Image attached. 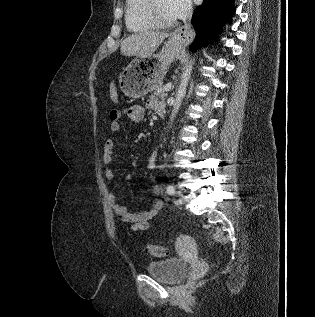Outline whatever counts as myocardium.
<instances>
[{"instance_id":"myocardium-1","label":"myocardium","mask_w":315,"mask_h":317,"mask_svg":"<svg viewBox=\"0 0 315 317\" xmlns=\"http://www.w3.org/2000/svg\"><path fill=\"white\" fill-rule=\"evenodd\" d=\"M146 10H147V16L149 20L151 21V23L154 25V27L166 29V28L174 27L177 24L176 20L164 21L159 17L157 7H156V0H148Z\"/></svg>"}]
</instances>
